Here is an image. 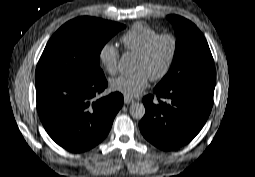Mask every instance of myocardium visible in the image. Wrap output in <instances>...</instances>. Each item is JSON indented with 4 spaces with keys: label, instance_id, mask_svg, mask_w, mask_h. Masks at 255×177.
Segmentation results:
<instances>
[{
    "label": "myocardium",
    "instance_id": "1",
    "mask_svg": "<svg viewBox=\"0 0 255 177\" xmlns=\"http://www.w3.org/2000/svg\"><path fill=\"white\" fill-rule=\"evenodd\" d=\"M161 40H168L171 44L170 53L167 58V61L163 67V69L155 76L149 77L151 81H159L163 79L168 72L170 71L173 62L175 60L177 50H178V42L176 37L173 34L170 33H161L152 38L145 48L138 54V57L141 59H148L155 48V46L161 41Z\"/></svg>",
    "mask_w": 255,
    "mask_h": 177
}]
</instances>
